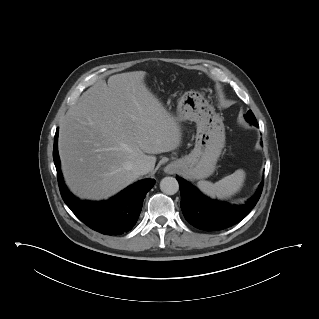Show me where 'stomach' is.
<instances>
[{"instance_id":"stomach-1","label":"stomach","mask_w":319,"mask_h":319,"mask_svg":"<svg viewBox=\"0 0 319 319\" xmlns=\"http://www.w3.org/2000/svg\"><path fill=\"white\" fill-rule=\"evenodd\" d=\"M177 121H193L197 126L194 149L188 154L171 162L168 167L191 180L211 176L225 146L223 118L196 91H187L177 105Z\"/></svg>"}]
</instances>
